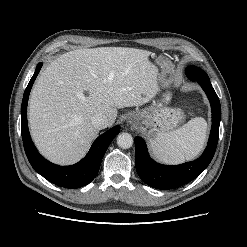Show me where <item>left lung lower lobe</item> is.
I'll return each instance as SVG.
<instances>
[{
	"instance_id": "left-lung-lower-lobe-1",
	"label": "left lung lower lobe",
	"mask_w": 247,
	"mask_h": 247,
	"mask_svg": "<svg viewBox=\"0 0 247 247\" xmlns=\"http://www.w3.org/2000/svg\"><path fill=\"white\" fill-rule=\"evenodd\" d=\"M189 80L197 82L211 104L212 127L207 147L196 160L176 166L162 165L152 160L146 144L140 137H135V166L139 177L149 186L157 189H174L187 184L198 177L211 162L219 135L221 106L210 80L195 75H187Z\"/></svg>"
}]
</instances>
